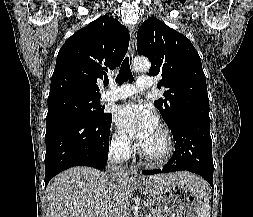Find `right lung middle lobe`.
<instances>
[{"label":"right lung middle lobe","mask_w":253,"mask_h":217,"mask_svg":"<svg viewBox=\"0 0 253 217\" xmlns=\"http://www.w3.org/2000/svg\"><path fill=\"white\" fill-rule=\"evenodd\" d=\"M99 100L100 97H67L48 102L46 122L67 116H81L93 120L105 119L110 114L104 112Z\"/></svg>","instance_id":"right-lung-middle-lobe-1"}]
</instances>
